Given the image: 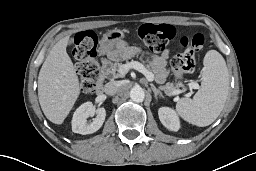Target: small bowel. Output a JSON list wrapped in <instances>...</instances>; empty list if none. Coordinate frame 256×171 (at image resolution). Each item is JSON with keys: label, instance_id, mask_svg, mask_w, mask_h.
<instances>
[{"label": "small bowel", "instance_id": "obj_1", "mask_svg": "<svg viewBox=\"0 0 256 171\" xmlns=\"http://www.w3.org/2000/svg\"><path fill=\"white\" fill-rule=\"evenodd\" d=\"M128 49L132 53H140L141 52L140 47H128ZM168 57H169V53L164 52L159 55H153L151 58V66L156 74V80L159 83L164 82L165 79L167 78L168 73H167V70L165 69V67L167 64Z\"/></svg>", "mask_w": 256, "mask_h": 171}]
</instances>
